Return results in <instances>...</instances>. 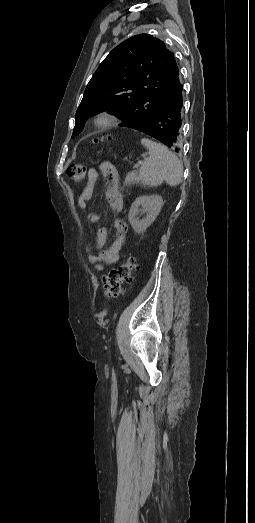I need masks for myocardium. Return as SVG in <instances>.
<instances>
[{
  "label": "myocardium",
  "mask_w": 255,
  "mask_h": 523,
  "mask_svg": "<svg viewBox=\"0 0 255 523\" xmlns=\"http://www.w3.org/2000/svg\"><path fill=\"white\" fill-rule=\"evenodd\" d=\"M115 122L113 116L108 113H100L92 120V126L98 129H105Z\"/></svg>",
  "instance_id": "f54148a6"
}]
</instances>
